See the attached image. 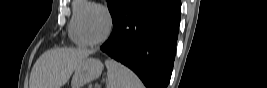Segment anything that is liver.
<instances>
[{
  "label": "liver",
  "instance_id": "1",
  "mask_svg": "<svg viewBox=\"0 0 267 88\" xmlns=\"http://www.w3.org/2000/svg\"><path fill=\"white\" fill-rule=\"evenodd\" d=\"M92 51L56 48L44 52L35 62L29 88H61L73 71Z\"/></svg>",
  "mask_w": 267,
  "mask_h": 88
}]
</instances>
